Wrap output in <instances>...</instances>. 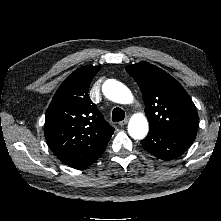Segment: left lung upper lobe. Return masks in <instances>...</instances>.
<instances>
[{"mask_svg": "<svg viewBox=\"0 0 221 221\" xmlns=\"http://www.w3.org/2000/svg\"><path fill=\"white\" fill-rule=\"evenodd\" d=\"M126 71L141 89L150 130L196 136L199 125L196 107L171 75L147 62L129 65Z\"/></svg>", "mask_w": 221, "mask_h": 221, "instance_id": "1", "label": "left lung upper lobe"}]
</instances>
